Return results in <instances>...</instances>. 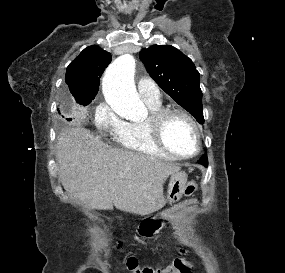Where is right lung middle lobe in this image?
Returning a JSON list of instances; mask_svg holds the SVG:
<instances>
[{
  "mask_svg": "<svg viewBox=\"0 0 285 273\" xmlns=\"http://www.w3.org/2000/svg\"><path fill=\"white\" fill-rule=\"evenodd\" d=\"M90 102L87 103H82L81 105L86 106L87 104H89ZM68 121H71V119H67Z\"/></svg>",
  "mask_w": 285,
  "mask_h": 273,
  "instance_id": "obj_1",
  "label": "right lung middle lobe"
}]
</instances>
